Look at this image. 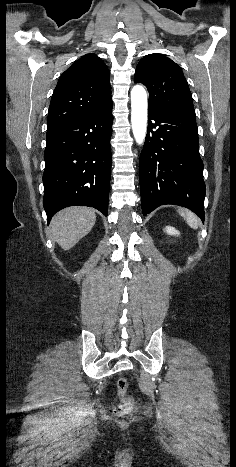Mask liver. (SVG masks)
Listing matches in <instances>:
<instances>
[{
	"label": "liver",
	"mask_w": 236,
	"mask_h": 467,
	"mask_svg": "<svg viewBox=\"0 0 236 467\" xmlns=\"http://www.w3.org/2000/svg\"><path fill=\"white\" fill-rule=\"evenodd\" d=\"M96 222L95 210L88 207H69L58 212L51 220L53 239L63 250H69L86 236Z\"/></svg>",
	"instance_id": "1"
}]
</instances>
